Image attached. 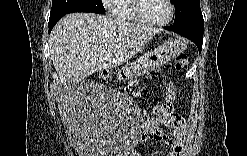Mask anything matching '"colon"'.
<instances>
[{
    "mask_svg": "<svg viewBox=\"0 0 247 156\" xmlns=\"http://www.w3.org/2000/svg\"><path fill=\"white\" fill-rule=\"evenodd\" d=\"M187 66V56L185 54H180L175 57L173 61V68L175 71H183ZM176 87L172 82H168L166 86V97L164 101H157L154 107H149V112L151 116L148 117L151 127L147 128L145 131V136L148 139H153L157 137L160 130H163V121L168 118V113L172 112L173 100L176 97Z\"/></svg>",
    "mask_w": 247,
    "mask_h": 156,
    "instance_id": "5ec220e1",
    "label": "colon"
}]
</instances>
